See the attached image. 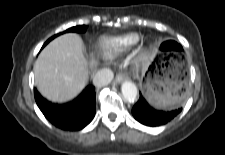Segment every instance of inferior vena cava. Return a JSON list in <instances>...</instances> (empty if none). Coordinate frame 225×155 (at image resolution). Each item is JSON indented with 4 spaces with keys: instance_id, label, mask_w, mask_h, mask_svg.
Returning <instances> with one entry per match:
<instances>
[{
    "instance_id": "obj_1",
    "label": "inferior vena cava",
    "mask_w": 225,
    "mask_h": 155,
    "mask_svg": "<svg viewBox=\"0 0 225 155\" xmlns=\"http://www.w3.org/2000/svg\"><path fill=\"white\" fill-rule=\"evenodd\" d=\"M113 77L114 74L110 69H101L94 75L93 84L99 87L108 85L112 81Z\"/></svg>"
}]
</instances>
